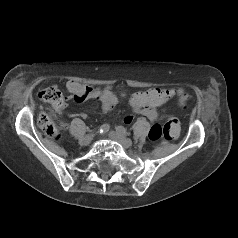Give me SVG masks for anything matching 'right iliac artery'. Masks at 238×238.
<instances>
[{
	"mask_svg": "<svg viewBox=\"0 0 238 238\" xmlns=\"http://www.w3.org/2000/svg\"><path fill=\"white\" fill-rule=\"evenodd\" d=\"M110 126L109 124H103L102 126H100V128L98 129V133L100 134H104L109 130Z\"/></svg>",
	"mask_w": 238,
	"mask_h": 238,
	"instance_id": "82829eb1",
	"label": "right iliac artery"
}]
</instances>
